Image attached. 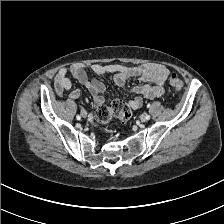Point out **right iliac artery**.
Segmentation results:
<instances>
[{
    "label": "right iliac artery",
    "instance_id": "obj_1",
    "mask_svg": "<svg viewBox=\"0 0 224 224\" xmlns=\"http://www.w3.org/2000/svg\"><path fill=\"white\" fill-rule=\"evenodd\" d=\"M76 118H77V120H80L81 119V116L80 115H77Z\"/></svg>",
    "mask_w": 224,
    "mask_h": 224
}]
</instances>
